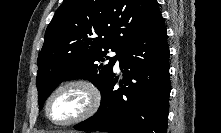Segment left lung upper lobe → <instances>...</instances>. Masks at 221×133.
<instances>
[{"mask_svg": "<svg viewBox=\"0 0 221 133\" xmlns=\"http://www.w3.org/2000/svg\"><path fill=\"white\" fill-rule=\"evenodd\" d=\"M161 12L156 0H64L45 33L38 56L40 109L64 80L88 79L101 91L120 50L148 29Z\"/></svg>", "mask_w": 221, "mask_h": 133, "instance_id": "1", "label": "left lung upper lobe"}]
</instances>
